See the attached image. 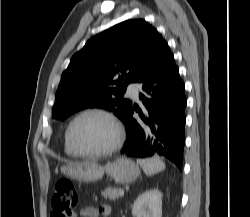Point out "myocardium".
I'll return each mask as SVG.
<instances>
[{
    "label": "myocardium",
    "instance_id": "obj_1",
    "mask_svg": "<svg viewBox=\"0 0 250 217\" xmlns=\"http://www.w3.org/2000/svg\"><path fill=\"white\" fill-rule=\"evenodd\" d=\"M92 114L100 115L109 121V123L111 124L113 128L114 138H113V142L111 143V145L108 146L107 148L98 152L87 153V152L81 151L76 146L73 140V128L79 119H81L84 116L92 115ZM66 136H67V141H68L69 146L71 147V149L74 151V153L77 156L82 157V158H88V159H98V158L112 155L113 153H115L116 151L120 149L124 140V130L118 118L110 110L103 108V107H89L80 111L72 118V120L68 124L67 130H66Z\"/></svg>",
    "mask_w": 250,
    "mask_h": 217
}]
</instances>
